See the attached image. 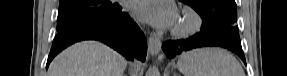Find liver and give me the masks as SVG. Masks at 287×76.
Listing matches in <instances>:
<instances>
[{"label":"liver","mask_w":287,"mask_h":76,"mask_svg":"<svg viewBox=\"0 0 287 76\" xmlns=\"http://www.w3.org/2000/svg\"><path fill=\"white\" fill-rule=\"evenodd\" d=\"M126 60L98 41L76 43L54 58L48 76H123Z\"/></svg>","instance_id":"6515ba94"}]
</instances>
